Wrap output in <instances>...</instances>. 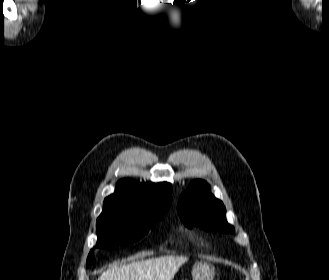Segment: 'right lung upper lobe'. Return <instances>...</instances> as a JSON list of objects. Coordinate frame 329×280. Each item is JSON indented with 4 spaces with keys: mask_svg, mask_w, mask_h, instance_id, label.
Masks as SVG:
<instances>
[{
    "mask_svg": "<svg viewBox=\"0 0 329 280\" xmlns=\"http://www.w3.org/2000/svg\"><path fill=\"white\" fill-rule=\"evenodd\" d=\"M172 185L169 183H136L122 179L117 183L114 194L104 200V204L119 203L141 210H150L156 205L171 204Z\"/></svg>",
    "mask_w": 329,
    "mask_h": 280,
    "instance_id": "obj_1",
    "label": "right lung upper lobe"
}]
</instances>
